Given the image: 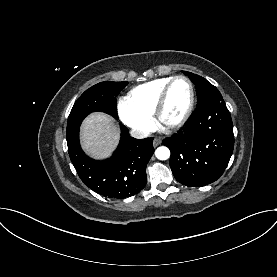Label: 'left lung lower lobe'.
Masks as SVG:
<instances>
[{"mask_svg": "<svg viewBox=\"0 0 277 277\" xmlns=\"http://www.w3.org/2000/svg\"><path fill=\"white\" fill-rule=\"evenodd\" d=\"M163 144L171 151L170 167L178 182L201 187L216 181L234 148L232 119L223 97L198 106L187 126Z\"/></svg>", "mask_w": 277, "mask_h": 277, "instance_id": "1", "label": "left lung lower lobe"}]
</instances>
